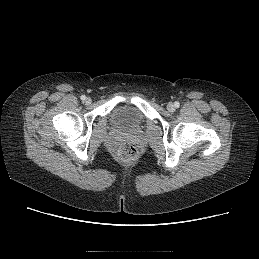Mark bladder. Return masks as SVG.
I'll return each mask as SVG.
<instances>
[{"instance_id": "obj_1", "label": "bladder", "mask_w": 259, "mask_h": 259, "mask_svg": "<svg viewBox=\"0 0 259 259\" xmlns=\"http://www.w3.org/2000/svg\"><path fill=\"white\" fill-rule=\"evenodd\" d=\"M110 122L120 129H136L144 124L145 116L139 108L129 104H122L111 111Z\"/></svg>"}]
</instances>
